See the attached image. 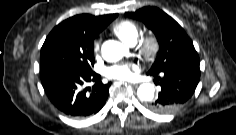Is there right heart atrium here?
<instances>
[{"instance_id":"right-heart-atrium-1","label":"right heart atrium","mask_w":236,"mask_h":135,"mask_svg":"<svg viewBox=\"0 0 236 135\" xmlns=\"http://www.w3.org/2000/svg\"><path fill=\"white\" fill-rule=\"evenodd\" d=\"M100 44H101V40L100 38H97L94 42H93V51L94 52H99L100 50Z\"/></svg>"}]
</instances>
